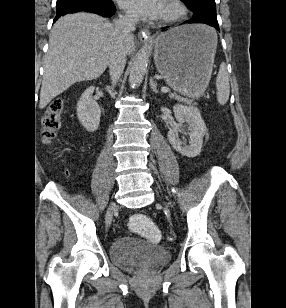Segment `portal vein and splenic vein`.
<instances>
[{
	"label": "portal vein and splenic vein",
	"instance_id": "portal-vein-and-splenic-vein-1",
	"mask_svg": "<svg viewBox=\"0 0 286 308\" xmlns=\"http://www.w3.org/2000/svg\"><path fill=\"white\" fill-rule=\"evenodd\" d=\"M169 91V88L168 87H162L161 88V92H168Z\"/></svg>",
	"mask_w": 286,
	"mask_h": 308
}]
</instances>
